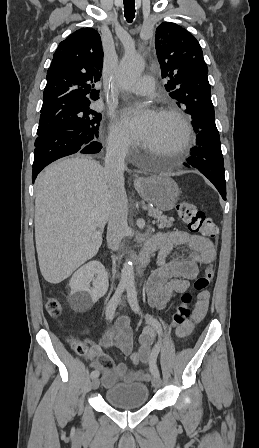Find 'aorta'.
Masks as SVG:
<instances>
[{"mask_svg": "<svg viewBox=\"0 0 259 448\" xmlns=\"http://www.w3.org/2000/svg\"><path fill=\"white\" fill-rule=\"evenodd\" d=\"M144 69L142 58L136 54L125 55L118 68V82L122 89L128 90L140 78ZM121 283L129 294L135 293L134 270L131 261L123 264Z\"/></svg>", "mask_w": 259, "mask_h": 448, "instance_id": "762f6f07", "label": "aorta"}]
</instances>
